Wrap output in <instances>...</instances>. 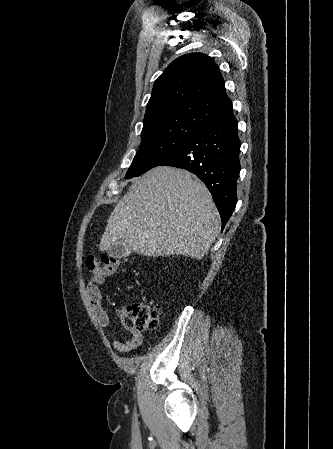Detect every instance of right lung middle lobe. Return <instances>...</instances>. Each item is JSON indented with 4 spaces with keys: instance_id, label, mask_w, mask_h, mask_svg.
Segmentation results:
<instances>
[{
    "instance_id": "dd1d6c3e",
    "label": "right lung middle lobe",
    "mask_w": 333,
    "mask_h": 449,
    "mask_svg": "<svg viewBox=\"0 0 333 449\" xmlns=\"http://www.w3.org/2000/svg\"><path fill=\"white\" fill-rule=\"evenodd\" d=\"M201 127L189 123H173L156 127L141 135V145L126 174L139 176L155 167L161 159L196 134Z\"/></svg>"
}]
</instances>
